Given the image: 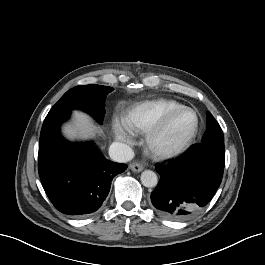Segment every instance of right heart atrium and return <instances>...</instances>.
<instances>
[{
    "label": "right heart atrium",
    "instance_id": "1",
    "mask_svg": "<svg viewBox=\"0 0 265 265\" xmlns=\"http://www.w3.org/2000/svg\"><path fill=\"white\" fill-rule=\"evenodd\" d=\"M112 130H113L115 139L119 141H123V142L130 141V136L128 135L127 131L117 121H113Z\"/></svg>",
    "mask_w": 265,
    "mask_h": 265
}]
</instances>
